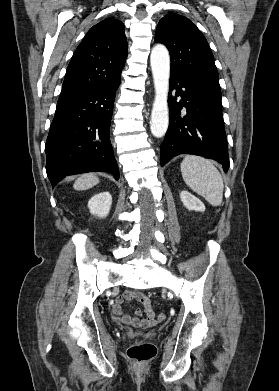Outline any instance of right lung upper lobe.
Instances as JSON below:
<instances>
[{
    "instance_id": "1",
    "label": "right lung upper lobe",
    "mask_w": 279,
    "mask_h": 391,
    "mask_svg": "<svg viewBox=\"0 0 279 391\" xmlns=\"http://www.w3.org/2000/svg\"><path fill=\"white\" fill-rule=\"evenodd\" d=\"M127 51L121 21L106 18L93 26L73 54L60 98L92 91L120 79Z\"/></svg>"
}]
</instances>
